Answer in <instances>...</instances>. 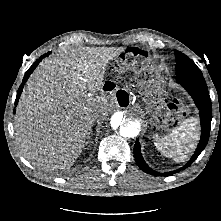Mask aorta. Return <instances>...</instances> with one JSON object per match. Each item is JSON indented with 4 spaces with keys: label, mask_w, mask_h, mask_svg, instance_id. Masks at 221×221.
<instances>
[{
    "label": "aorta",
    "mask_w": 221,
    "mask_h": 221,
    "mask_svg": "<svg viewBox=\"0 0 221 221\" xmlns=\"http://www.w3.org/2000/svg\"><path fill=\"white\" fill-rule=\"evenodd\" d=\"M110 124L112 130L122 138H134L141 129V120L133 113L116 112Z\"/></svg>",
    "instance_id": "762f6f07"
}]
</instances>
